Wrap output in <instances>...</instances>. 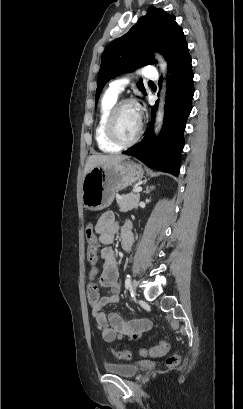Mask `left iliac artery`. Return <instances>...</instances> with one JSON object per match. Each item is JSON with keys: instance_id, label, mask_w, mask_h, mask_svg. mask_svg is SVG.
<instances>
[{"instance_id": "44dca946", "label": "left iliac artery", "mask_w": 243, "mask_h": 409, "mask_svg": "<svg viewBox=\"0 0 243 409\" xmlns=\"http://www.w3.org/2000/svg\"><path fill=\"white\" fill-rule=\"evenodd\" d=\"M125 287L126 289H129L131 287V276L127 275V278L125 280Z\"/></svg>"}]
</instances>
